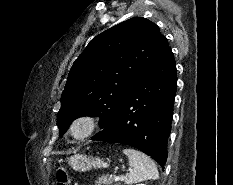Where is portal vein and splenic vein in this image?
<instances>
[{
    "instance_id": "1",
    "label": "portal vein and splenic vein",
    "mask_w": 233,
    "mask_h": 185,
    "mask_svg": "<svg viewBox=\"0 0 233 185\" xmlns=\"http://www.w3.org/2000/svg\"><path fill=\"white\" fill-rule=\"evenodd\" d=\"M123 178V176H114V180L115 181H119L120 179H122Z\"/></svg>"
}]
</instances>
